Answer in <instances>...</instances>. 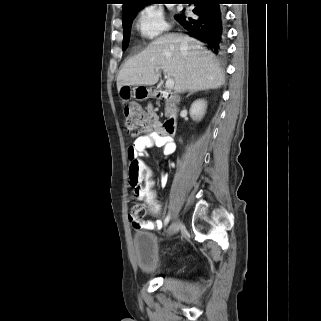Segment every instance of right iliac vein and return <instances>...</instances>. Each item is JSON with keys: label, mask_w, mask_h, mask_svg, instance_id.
Listing matches in <instances>:
<instances>
[{"label": "right iliac vein", "mask_w": 321, "mask_h": 321, "mask_svg": "<svg viewBox=\"0 0 321 321\" xmlns=\"http://www.w3.org/2000/svg\"><path fill=\"white\" fill-rule=\"evenodd\" d=\"M179 225H180V221L176 217L171 223L170 227L168 228L167 235L169 236L173 235L178 230Z\"/></svg>", "instance_id": "1"}]
</instances>
